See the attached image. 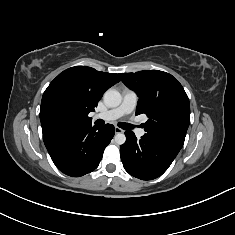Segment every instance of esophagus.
Listing matches in <instances>:
<instances>
[{"label": "esophagus", "mask_w": 235, "mask_h": 235, "mask_svg": "<svg viewBox=\"0 0 235 235\" xmlns=\"http://www.w3.org/2000/svg\"><path fill=\"white\" fill-rule=\"evenodd\" d=\"M124 130L119 128V127H115V133L118 134V133H123Z\"/></svg>", "instance_id": "esophagus-1"}]
</instances>
